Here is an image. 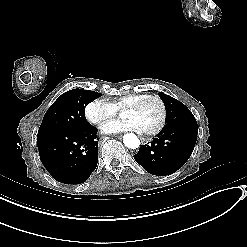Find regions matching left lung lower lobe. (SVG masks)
I'll list each match as a JSON object with an SVG mask.
<instances>
[{
    "label": "left lung lower lobe",
    "mask_w": 247,
    "mask_h": 247,
    "mask_svg": "<svg viewBox=\"0 0 247 247\" xmlns=\"http://www.w3.org/2000/svg\"><path fill=\"white\" fill-rule=\"evenodd\" d=\"M198 128L179 126L164 128L151 144L142 145L134 159L153 175H170L179 170L191 156Z\"/></svg>",
    "instance_id": "left-lung-lower-lobe-1"
}]
</instances>
